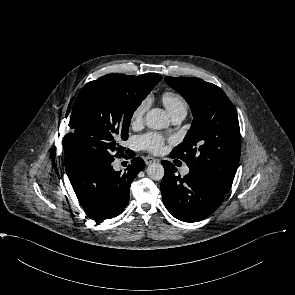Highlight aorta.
I'll return each mask as SVG.
<instances>
[{
    "label": "aorta",
    "mask_w": 295,
    "mask_h": 295,
    "mask_svg": "<svg viewBox=\"0 0 295 295\" xmlns=\"http://www.w3.org/2000/svg\"><path fill=\"white\" fill-rule=\"evenodd\" d=\"M145 121L146 125L154 130L164 129L170 123L167 113L160 108H154L148 111ZM147 175L152 180L160 181L164 176V167L160 163L150 164L147 168Z\"/></svg>",
    "instance_id": "1"
}]
</instances>
